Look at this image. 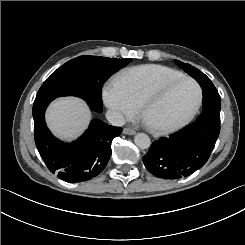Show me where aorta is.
<instances>
[{
    "label": "aorta",
    "mask_w": 245,
    "mask_h": 245,
    "mask_svg": "<svg viewBox=\"0 0 245 245\" xmlns=\"http://www.w3.org/2000/svg\"><path fill=\"white\" fill-rule=\"evenodd\" d=\"M134 142L140 149H147L151 145L149 136L145 133H138L135 135Z\"/></svg>",
    "instance_id": "obj_1"
}]
</instances>
